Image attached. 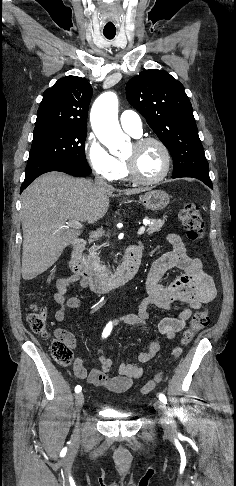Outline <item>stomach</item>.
Listing matches in <instances>:
<instances>
[{"mask_svg": "<svg viewBox=\"0 0 236 486\" xmlns=\"http://www.w3.org/2000/svg\"><path fill=\"white\" fill-rule=\"evenodd\" d=\"M146 209L158 211L164 209L170 202V196L162 190H152L140 197Z\"/></svg>", "mask_w": 236, "mask_h": 486, "instance_id": "1", "label": "stomach"}]
</instances>
